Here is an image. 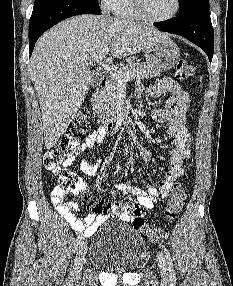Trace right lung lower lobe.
Listing matches in <instances>:
<instances>
[{
	"instance_id": "98d812e1",
	"label": "right lung lower lobe",
	"mask_w": 233,
	"mask_h": 286,
	"mask_svg": "<svg viewBox=\"0 0 233 286\" xmlns=\"http://www.w3.org/2000/svg\"><path fill=\"white\" fill-rule=\"evenodd\" d=\"M80 14H101V11L80 0H47L39 8L33 9L29 21L30 55L36 41L47 29L66 18Z\"/></svg>"
}]
</instances>
